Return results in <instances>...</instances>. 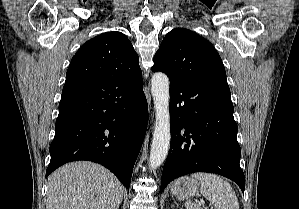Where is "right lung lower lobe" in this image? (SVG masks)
<instances>
[{"label":"right lung lower lobe","instance_id":"1","mask_svg":"<svg viewBox=\"0 0 299 209\" xmlns=\"http://www.w3.org/2000/svg\"><path fill=\"white\" fill-rule=\"evenodd\" d=\"M148 123L142 79L117 76L65 83L46 177L61 165L88 160L113 172L129 190Z\"/></svg>","mask_w":299,"mask_h":209}]
</instances>
